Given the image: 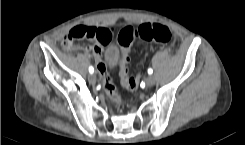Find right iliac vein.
Wrapping results in <instances>:
<instances>
[{
  "label": "right iliac vein",
  "instance_id": "63e3f726",
  "mask_svg": "<svg viewBox=\"0 0 245 145\" xmlns=\"http://www.w3.org/2000/svg\"><path fill=\"white\" fill-rule=\"evenodd\" d=\"M88 80L91 84H95L96 83V75L95 74H90L88 77Z\"/></svg>",
  "mask_w": 245,
  "mask_h": 145
}]
</instances>
